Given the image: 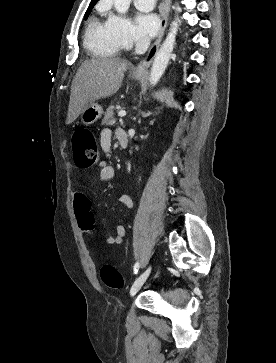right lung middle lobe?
<instances>
[{"mask_svg":"<svg viewBox=\"0 0 276 363\" xmlns=\"http://www.w3.org/2000/svg\"><path fill=\"white\" fill-rule=\"evenodd\" d=\"M93 7H90V8H88V10L86 11V14H85V19L88 17V15L90 14V12H91V9H92Z\"/></svg>","mask_w":276,"mask_h":363,"instance_id":"1","label":"right lung middle lobe"}]
</instances>
